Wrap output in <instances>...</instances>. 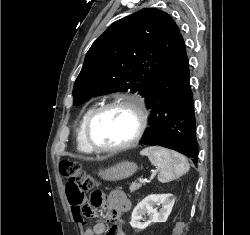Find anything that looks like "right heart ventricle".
<instances>
[{
  "mask_svg": "<svg viewBox=\"0 0 250 235\" xmlns=\"http://www.w3.org/2000/svg\"><path fill=\"white\" fill-rule=\"evenodd\" d=\"M94 109H95V106H89L81 115V118L78 123L76 142H77L78 150L83 153L92 152V150L87 146L84 140V126H85L86 120L88 119L89 115Z\"/></svg>",
  "mask_w": 250,
  "mask_h": 235,
  "instance_id": "1",
  "label": "right heart ventricle"
}]
</instances>
